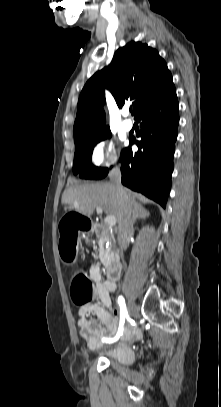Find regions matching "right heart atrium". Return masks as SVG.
<instances>
[{"label": "right heart atrium", "mask_w": 221, "mask_h": 407, "mask_svg": "<svg viewBox=\"0 0 221 407\" xmlns=\"http://www.w3.org/2000/svg\"><path fill=\"white\" fill-rule=\"evenodd\" d=\"M90 161L94 166L109 167L118 161L115 143L112 140H100L91 150Z\"/></svg>", "instance_id": "right-heart-atrium-1"}]
</instances>
